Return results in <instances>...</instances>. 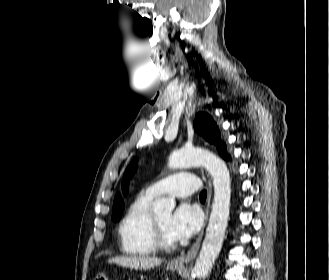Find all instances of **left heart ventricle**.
<instances>
[{
  "mask_svg": "<svg viewBox=\"0 0 329 280\" xmlns=\"http://www.w3.org/2000/svg\"><path fill=\"white\" fill-rule=\"evenodd\" d=\"M170 218H171V216L168 213L156 216V220H157L163 234L165 235V237L168 240L173 241V239L170 237L168 230H167Z\"/></svg>",
  "mask_w": 329,
  "mask_h": 280,
  "instance_id": "1",
  "label": "left heart ventricle"
}]
</instances>
